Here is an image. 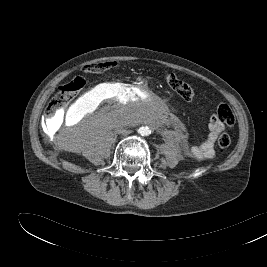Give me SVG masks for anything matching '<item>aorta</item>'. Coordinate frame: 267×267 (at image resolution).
I'll return each mask as SVG.
<instances>
[{
	"label": "aorta",
	"mask_w": 267,
	"mask_h": 267,
	"mask_svg": "<svg viewBox=\"0 0 267 267\" xmlns=\"http://www.w3.org/2000/svg\"><path fill=\"white\" fill-rule=\"evenodd\" d=\"M150 129L148 127L142 126L138 129V133L142 136H148L150 134Z\"/></svg>",
	"instance_id": "obj_1"
}]
</instances>
